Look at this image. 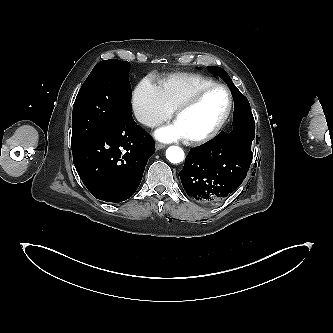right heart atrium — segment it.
Listing matches in <instances>:
<instances>
[{"instance_id":"right-heart-atrium-1","label":"right heart atrium","mask_w":333,"mask_h":333,"mask_svg":"<svg viewBox=\"0 0 333 333\" xmlns=\"http://www.w3.org/2000/svg\"><path fill=\"white\" fill-rule=\"evenodd\" d=\"M132 108L136 119L147 127L158 126L172 115L159 87L149 79L142 80L135 88Z\"/></svg>"}]
</instances>
